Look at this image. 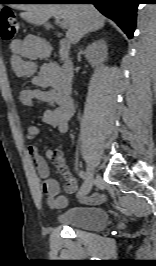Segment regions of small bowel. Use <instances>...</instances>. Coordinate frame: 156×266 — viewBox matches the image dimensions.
Returning <instances> with one entry per match:
<instances>
[{
  "instance_id": "small-bowel-1",
  "label": "small bowel",
  "mask_w": 156,
  "mask_h": 266,
  "mask_svg": "<svg viewBox=\"0 0 156 266\" xmlns=\"http://www.w3.org/2000/svg\"><path fill=\"white\" fill-rule=\"evenodd\" d=\"M42 45L44 43L32 35L11 42L10 66L16 77L35 74L37 69L35 60L45 58L47 55L41 50ZM33 83L37 86L36 89L24 90L18 96V101L24 112H27L33 104H48L50 108L44 110L43 122L56 128L60 133L67 132L69 121L74 114V103L70 95V89L64 87L60 81L59 68L53 63L44 64L39 72L34 75ZM38 134L39 128L36 125H30L27 128L26 137L28 140L35 139ZM28 151L41 179V188L47 195L49 205L54 209L66 207L68 201L66 197L59 195L60 185L50 176L49 166L45 158L34 145H30ZM45 154L66 178V191L69 194H74L77 189V182L64 164L62 150L49 148ZM104 199L103 194L95 193L82 197L80 200L85 204L96 205L102 203Z\"/></svg>"
}]
</instances>
